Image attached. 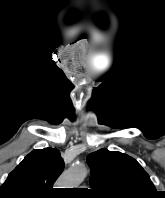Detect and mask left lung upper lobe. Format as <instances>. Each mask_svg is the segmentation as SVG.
<instances>
[{"mask_svg":"<svg viewBox=\"0 0 165 198\" xmlns=\"http://www.w3.org/2000/svg\"><path fill=\"white\" fill-rule=\"evenodd\" d=\"M91 168V192L97 198H154L149 175L132 157L100 149L87 157Z\"/></svg>","mask_w":165,"mask_h":198,"instance_id":"obj_1","label":"left lung upper lobe"}]
</instances>
